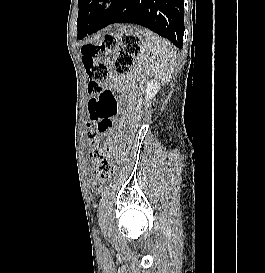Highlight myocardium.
Here are the masks:
<instances>
[{
  "instance_id": "myocardium-1",
  "label": "myocardium",
  "mask_w": 265,
  "mask_h": 273,
  "mask_svg": "<svg viewBox=\"0 0 265 273\" xmlns=\"http://www.w3.org/2000/svg\"><path fill=\"white\" fill-rule=\"evenodd\" d=\"M109 4H110V2H104L103 5H102V7H103V8H106V7L109 6Z\"/></svg>"
}]
</instances>
